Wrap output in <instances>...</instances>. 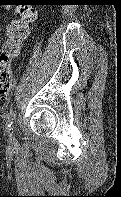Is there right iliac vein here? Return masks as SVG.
<instances>
[{"label": "right iliac vein", "instance_id": "1", "mask_svg": "<svg viewBox=\"0 0 121 197\" xmlns=\"http://www.w3.org/2000/svg\"><path fill=\"white\" fill-rule=\"evenodd\" d=\"M8 142H9L10 146H15L17 144L14 130L9 134Z\"/></svg>", "mask_w": 121, "mask_h": 197}]
</instances>
